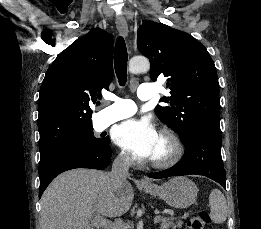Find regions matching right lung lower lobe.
I'll list each match as a JSON object with an SVG mask.
<instances>
[{
  "instance_id": "obj_1",
  "label": "right lung lower lobe",
  "mask_w": 261,
  "mask_h": 229,
  "mask_svg": "<svg viewBox=\"0 0 261 229\" xmlns=\"http://www.w3.org/2000/svg\"><path fill=\"white\" fill-rule=\"evenodd\" d=\"M111 156V147L108 145L102 151L65 152L41 159L39 164V198L49 183L60 173L75 168L102 170L110 164Z\"/></svg>"
}]
</instances>
